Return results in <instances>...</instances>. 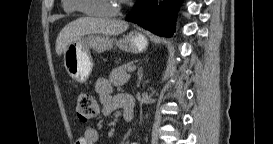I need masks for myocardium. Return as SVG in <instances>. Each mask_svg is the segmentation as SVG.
I'll use <instances>...</instances> for the list:
<instances>
[{"instance_id": "obj_1", "label": "myocardium", "mask_w": 273, "mask_h": 144, "mask_svg": "<svg viewBox=\"0 0 273 144\" xmlns=\"http://www.w3.org/2000/svg\"><path fill=\"white\" fill-rule=\"evenodd\" d=\"M73 6L76 11H79L85 15L92 16H112L120 11V6L117 4L112 10H93L84 5V0H72Z\"/></svg>"}]
</instances>
